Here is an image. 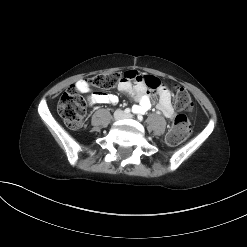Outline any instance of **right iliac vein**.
<instances>
[{
    "instance_id": "63e3f726",
    "label": "right iliac vein",
    "mask_w": 247,
    "mask_h": 247,
    "mask_svg": "<svg viewBox=\"0 0 247 247\" xmlns=\"http://www.w3.org/2000/svg\"><path fill=\"white\" fill-rule=\"evenodd\" d=\"M123 117L122 111H116L114 114V120H120Z\"/></svg>"
}]
</instances>
